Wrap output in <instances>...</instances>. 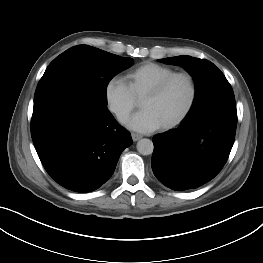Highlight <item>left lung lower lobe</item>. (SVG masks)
<instances>
[{
  "label": "left lung lower lobe",
  "instance_id": "1",
  "mask_svg": "<svg viewBox=\"0 0 263 263\" xmlns=\"http://www.w3.org/2000/svg\"><path fill=\"white\" fill-rule=\"evenodd\" d=\"M236 126L235 98L213 100L189 113L178 128L153 137L154 175L176 191L207 183L227 162Z\"/></svg>",
  "mask_w": 263,
  "mask_h": 263
}]
</instances>
